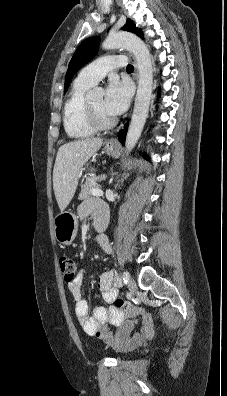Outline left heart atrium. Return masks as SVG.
<instances>
[{"label": "left heart atrium", "instance_id": "1", "mask_svg": "<svg viewBox=\"0 0 227 396\" xmlns=\"http://www.w3.org/2000/svg\"><path fill=\"white\" fill-rule=\"evenodd\" d=\"M132 89L128 82L111 79L103 99L105 111L110 116L122 114L129 106Z\"/></svg>", "mask_w": 227, "mask_h": 396}]
</instances>
